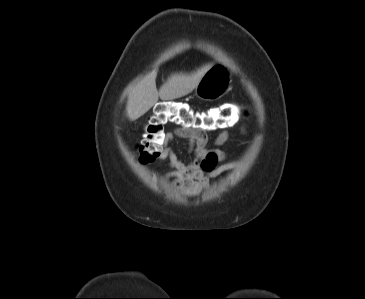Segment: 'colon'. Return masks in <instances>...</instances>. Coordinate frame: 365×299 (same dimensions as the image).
<instances>
[{"instance_id": "obj_1", "label": "colon", "mask_w": 365, "mask_h": 299, "mask_svg": "<svg viewBox=\"0 0 365 299\" xmlns=\"http://www.w3.org/2000/svg\"><path fill=\"white\" fill-rule=\"evenodd\" d=\"M232 121L231 106L199 111L179 101L158 102L144 125V139L138 146L139 161L150 163L158 158L165 143V126L168 124L212 131L229 127Z\"/></svg>"}]
</instances>
